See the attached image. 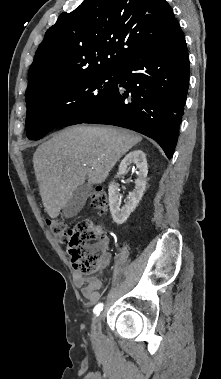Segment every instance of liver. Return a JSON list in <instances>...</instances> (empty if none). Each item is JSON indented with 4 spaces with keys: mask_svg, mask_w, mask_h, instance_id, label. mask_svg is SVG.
Returning a JSON list of instances; mask_svg holds the SVG:
<instances>
[{
    "mask_svg": "<svg viewBox=\"0 0 221 379\" xmlns=\"http://www.w3.org/2000/svg\"><path fill=\"white\" fill-rule=\"evenodd\" d=\"M142 137L115 127L66 128L39 145L33 156L39 192L54 219L85 180L101 184L117 161Z\"/></svg>",
    "mask_w": 221,
    "mask_h": 379,
    "instance_id": "liver-1",
    "label": "liver"
}]
</instances>
